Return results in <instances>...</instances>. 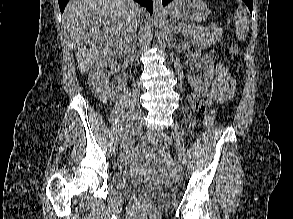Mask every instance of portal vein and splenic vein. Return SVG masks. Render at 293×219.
Wrapping results in <instances>:
<instances>
[{
    "instance_id": "portal-vein-and-splenic-vein-1",
    "label": "portal vein and splenic vein",
    "mask_w": 293,
    "mask_h": 219,
    "mask_svg": "<svg viewBox=\"0 0 293 219\" xmlns=\"http://www.w3.org/2000/svg\"><path fill=\"white\" fill-rule=\"evenodd\" d=\"M203 29H205V30H218V29L215 27V24H211V25H209L208 27L203 28Z\"/></svg>"
}]
</instances>
